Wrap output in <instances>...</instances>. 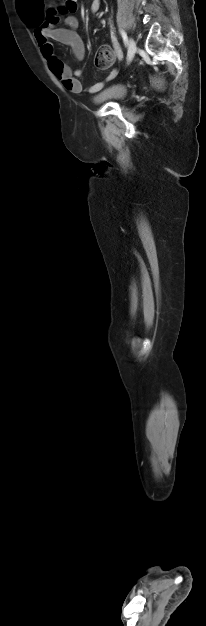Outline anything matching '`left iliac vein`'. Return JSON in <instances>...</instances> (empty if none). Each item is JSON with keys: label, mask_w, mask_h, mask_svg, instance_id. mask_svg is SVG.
<instances>
[{"label": "left iliac vein", "mask_w": 206, "mask_h": 626, "mask_svg": "<svg viewBox=\"0 0 206 626\" xmlns=\"http://www.w3.org/2000/svg\"><path fill=\"white\" fill-rule=\"evenodd\" d=\"M136 52V43L132 38L128 40L127 62H131Z\"/></svg>", "instance_id": "obj_1"}]
</instances>
